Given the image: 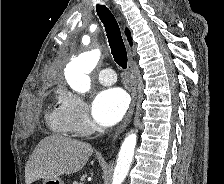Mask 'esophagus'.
Returning <instances> with one entry per match:
<instances>
[{
	"label": "esophagus",
	"mask_w": 224,
	"mask_h": 184,
	"mask_svg": "<svg viewBox=\"0 0 224 184\" xmlns=\"http://www.w3.org/2000/svg\"><path fill=\"white\" fill-rule=\"evenodd\" d=\"M129 65H128V73L130 78V92L132 96V101L129 107V110L122 121V123L117 127L114 135H113V141H115L116 137L120 135L124 129L128 126L131 117L133 115L135 105H136V99H137V81H136V74H135V68H134V62H133V53L129 49Z\"/></svg>",
	"instance_id": "obj_1"
}]
</instances>
